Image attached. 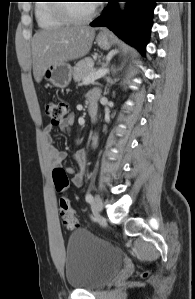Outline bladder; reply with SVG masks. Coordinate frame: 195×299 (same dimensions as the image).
I'll return each instance as SVG.
<instances>
[{
	"label": "bladder",
	"instance_id": "31cf9c89",
	"mask_svg": "<svg viewBox=\"0 0 195 299\" xmlns=\"http://www.w3.org/2000/svg\"><path fill=\"white\" fill-rule=\"evenodd\" d=\"M65 251L66 281L76 289H97L121 267L115 249L86 230H76L69 237Z\"/></svg>",
	"mask_w": 195,
	"mask_h": 299
}]
</instances>
